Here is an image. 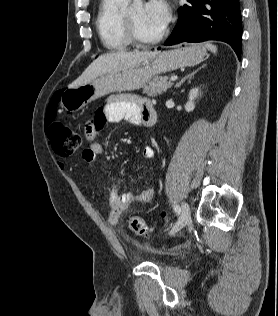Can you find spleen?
<instances>
[{
  "label": "spleen",
  "instance_id": "obj_1",
  "mask_svg": "<svg viewBox=\"0 0 278 316\" xmlns=\"http://www.w3.org/2000/svg\"><path fill=\"white\" fill-rule=\"evenodd\" d=\"M205 48L208 49L209 51L213 52L214 54L217 53V47L211 43H206Z\"/></svg>",
  "mask_w": 278,
  "mask_h": 316
}]
</instances>
